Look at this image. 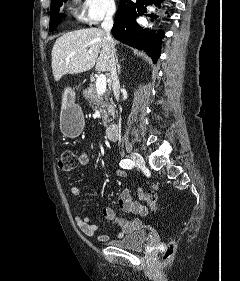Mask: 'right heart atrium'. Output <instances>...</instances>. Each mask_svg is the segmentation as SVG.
Wrapping results in <instances>:
<instances>
[{"instance_id": "1", "label": "right heart atrium", "mask_w": 240, "mask_h": 281, "mask_svg": "<svg viewBox=\"0 0 240 281\" xmlns=\"http://www.w3.org/2000/svg\"><path fill=\"white\" fill-rule=\"evenodd\" d=\"M115 11V0H83L82 3V17L91 24L112 17Z\"/></svg>"}]
</instances>
